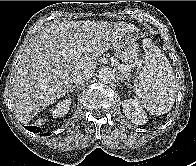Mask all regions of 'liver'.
Segmentation results:
<instances>
[{
  "instance_id": "6515ba94",
  "label": "liver",
  "mask_w": 196,
  "mask_h": 166,
  "mask_svg": "<svg viewBox=\"0 0 196 166\" xmlns=\"http://www.w3.org/2000/svg\"><path fill=\"white\" fill-rule=\"evenodd\" d=\"M138 29L126 22L55 21L31 38L14 76L12 103L16 117L29 122L71 89L73 75L93 74L97 59ZM79 49H82L79 55Z\"/></svg>"
}]
</instances>
